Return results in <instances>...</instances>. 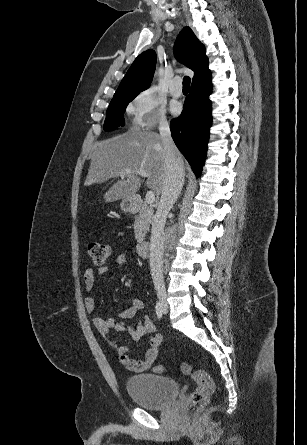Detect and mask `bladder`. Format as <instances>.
<instances>
[{"label":"bladder","instance_id":"bladder-1","mask_svg":"<svg viewBox=\"0 0 307 445\" xmlns=\"http://www.w3.org/2000/svg\"><path fill=\"white\" fill-rule=\"evenodd\" d=\"M126 389L134 403L150 410L167 407L179 393V385L174 379L152 373L128 377Z\"/></svg>","mask_w":307,"mask_h":445}]
</instances>
